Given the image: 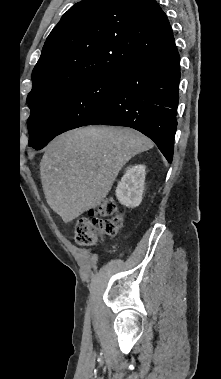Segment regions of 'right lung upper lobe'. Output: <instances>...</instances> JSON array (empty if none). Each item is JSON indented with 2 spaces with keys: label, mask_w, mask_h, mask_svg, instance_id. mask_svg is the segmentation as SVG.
Here are the masks:
<instances>
[{
  "label": "right lung upper lobe",
  "mask_w": 221,
  "mask_h": 379,
  "mask_svg": "<svg viewBox=\"0 0 221 379\" xmlns=\"http://www.w3.org/2000/svg\"><path fill=\"white\" fill-rule=\"evenodd\" d=\"M174 42L155 0H83L49 34L27 102L62 85L121 71Z\"/></svg>",
  "instance_id": "obj_1"
}]
</instances>
